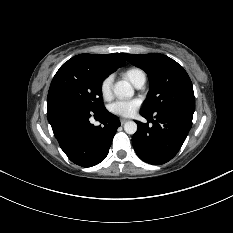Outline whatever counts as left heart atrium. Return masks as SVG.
Masks as SVG:
<instances>
[{
	"instance_id": "obj_1",
	"label": "left heart atrium",
	"mask_w": 233,
	"mask_h": 233,
	"mask_svg": "<svg viewBox=\"0 0 233 233\" xmlns=\"http://www.w3.org/2000/svg\"><path fill=\"white\" fill-rule=\"evenodd\" d=\"M140 105L141 101L139 99L117 100L109 105V111L114 115L130 117Z\"/></svg>"
}]
</instances>
